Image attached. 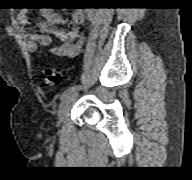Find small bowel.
Segmentation results:
<instances>
[{
  "instance_id": "c3829d8e",
  "label": "small bowel",
  "mask_w": 192,
  "mask_h": 180,
  "mask_svg": "<svg viewBox=\"0 0 192 180\" xmlns=\"http://www.w3.org/2000/svg\"><path fill=\"white\" fill-rule=\"evenodd\" d=\"M28 15V10H20L17 15L18 23L22 26L28 25ZM42 15L44 21L38 24L41 33H32L25 29L22 30L27 50L33 53L39 47L50 46L52 44V37H54L57 39V43L50 48L52 55L68 58L78 56L84 45L85 37L75 29L71 31L63 29L61 27L64 24L63 18L51 9H43ZM94 17L95 11L93 9H75L72 13V22L74 25H81L86 19L92 21Z\"/></svg>"
}]
</instances>
